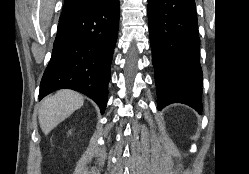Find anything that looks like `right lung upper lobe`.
Listing matches in <instances>:
<instances>
[{
    "instance_id": "right-lung-upper-lobe-1",
    "label": "right lung upper lobe",
    "mask_w": 249,
    "mask_h": 174,
    "mask_svg": "<svg viewBox=\"0 0 249 174\" xmlns=\"http://www.w3.org/2000/svg\"><path fill=\"white\" fill-rule=\"evenodd\" d=\"M110 0H65L61 16L70 15L83 8L103 4Z\"/></svg>"
}]
</instances>
